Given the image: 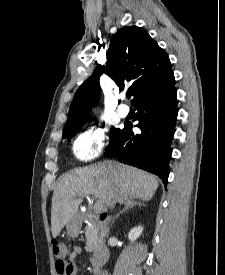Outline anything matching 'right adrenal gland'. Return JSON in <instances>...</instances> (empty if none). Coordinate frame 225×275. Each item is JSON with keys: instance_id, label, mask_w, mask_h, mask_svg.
<instances>
[{"instance_id": "right-adrenal-gland-1", "label": "right adrenal gland", "mask_w": 225, "mask_h": 275, "mask_svg": "<svg viewBox=\"0 0 225 275\" xmlns=\"http://www.w3.org/2000/svg\"><path fill=\"white\" fill-rule=\"evenodd\" d=\"M136 205H140V203H138V202H136V201L130 202L129 204H127V205L123 208L122 211H120V212L117 214L116 218H118L120 214H122L123 212L127 211L129 208H133V207L136 206Z\"/></svg>"}]
</instances>
